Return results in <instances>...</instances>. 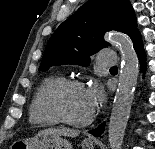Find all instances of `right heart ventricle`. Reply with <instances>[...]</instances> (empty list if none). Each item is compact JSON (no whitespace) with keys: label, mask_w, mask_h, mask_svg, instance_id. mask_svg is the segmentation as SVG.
I'll return each mask as SVG.
<instances>
[{"label":"right heart ventricle","mask_w":155,"mask_h":149,"mask_svg":"<svg viewBox=\"0 0 155 149\" xmlns=\"http://www.w3.org/2000/svg\"><path fill=\"white\" fill-rule=\"evenodd\" d=\"M63 79L61 75H52L38 85L29 106V122L32 125L52 127L59 124L60 121L49 109L47 96L50 89Z\"/></svg>","instance_id":"e07e8e85"}]
</instances>
